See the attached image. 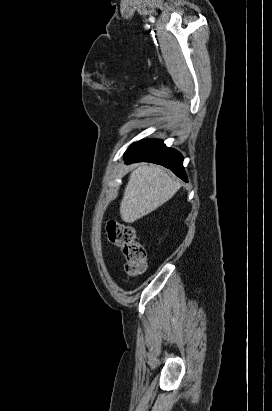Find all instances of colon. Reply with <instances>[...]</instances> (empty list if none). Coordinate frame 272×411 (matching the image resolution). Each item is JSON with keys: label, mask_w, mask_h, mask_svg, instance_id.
<instances>
[{"label": "colon", "mask_w": 272, "mask_h": 411, "mask_svg": "<svg viewBox=\"0 0 272 411\" xmlns=\"http://www.w3.org/2000/svg\"><path fill=\"white\" fill-rule=\"evenodd\" d=\"M106 233L109 241L122 249L127 275L137 277L143 274L146 269V250L137 239L134 227L118 221H109Z\"/></svg>", "instance_id": "colon-1"}]
</instances>
